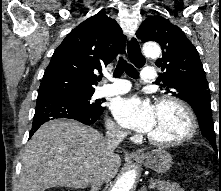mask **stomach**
Instances as JSON below:
<instances>
[{
    "mask_svg": "<svg viewBox=\"0 0 221 191\" xmlns=\"http://www.w3.org/2000/svg\"><path fill=\"white\" fill-rule=\"evenodd\" d=\"M135 160L160 174L166 173L172 165L171 155L161 148L147 152Z\"/></svg>",
    "mask_w": 221,
    "mask_h": 191,
    "instance_id": "obj_1",
    "label": "stomach"
}]
</instances>
